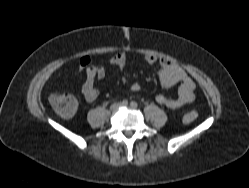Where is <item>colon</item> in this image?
Masks as SVG:
<instances>
[{
	"instance_id": "1",
	"label": "colon",
	"mask_w": 249,
	"mask_h": 188,
	"mask_svg": "<svg viewBox=\"0 0 249 188\" xmlns=\"http://www.w3.org/2000/svg\"><path fill=\"white\" fill-rule=\"evenodd\" d=\"M49 101L55 112L63 118H70L77 111V100L67 91H57L52 93L50 95ZM197 116L198 114L196 111H187L183 115V122L190 124L197 119Z\"/></svg>"
}]
</instances>
